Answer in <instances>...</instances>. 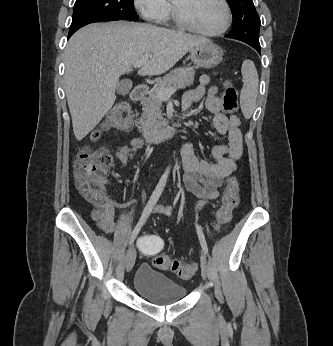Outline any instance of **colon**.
Returning <instances> with one entry per match:
<instances>
[{"label": "colon", "mask_w": 333, "mask_h": 346, "mask_svg": "<svg viewBox=\"0 0 333 346\" xmlns=\"http://www.w3.org/2000/svg\"><path fill=\"white\" fill-rule=\"evenodd\" d=\"M223 109L228 114L238 111V93L227 83L222 94ZM132 110L128 103L120 102L114 106L104 122L106 130L127 131L132 127ZM112 165V156L104 148H85L79 152L74 164L76 187L82 197L92 204H100L105 198L106 174ZM239 203V182L229 178L222 196L221 207L215 215L216 227L230 222L232 212ZM161 233H148L137 236V246L141 256H155L153 265L162 270L175 272L180 278L188 279L197 271L195 263H181L168 255H162Z\"/></svg>", "instance_id": "5ec220e1"}]
</instances>
